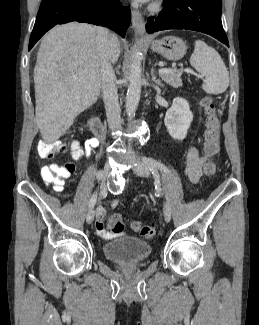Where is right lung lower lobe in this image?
<instances>
[{
    "label": "right lung lower lobe",
    "mask_w": 259,
    "mask_h": 325,
    "mask_svg": "<svg viewBox=\"0 0 259 325\" xmlns=\"http://www.w3.org/2000/svg\"><path fill=\"white\" fill-rule=\"evenodd\" d=\"M130 16V9L121 6L118 0H43L28 50L56 24L70 21L106 26L125 37Z\"/></svg>",
    "instance_id": "98d812e1"
}]
</instances>
